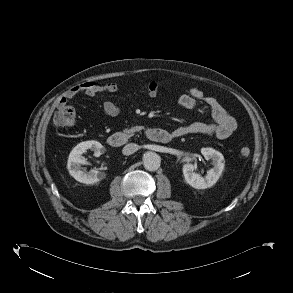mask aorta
<instances>
[{
    "label": "aorta",
    "instance_id": "762f6f07",
    "mask_svg": "<svg viewBox=\"0 0 293 293\" xmlns=\"http://www.w3.org/2000/svg\"><path fill=\"white\" fill-rule=\"evenodd\" d=\"M161 159L155 152L148 151L143 155V165L149 171H155L160 167Z\"/></svg>",
    "mask_w": 293,
    "mask_h": 293
}]
</instances>
